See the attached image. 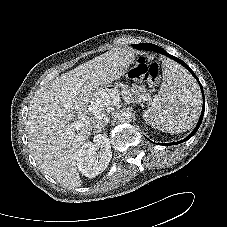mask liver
<instances>
[{"mask_svg":"<svg viewBox=\"0 0 227 227\" xmlns=\"http://www.w3.org/2000/svg\"><path fill=\"white\" fill-rule=\"evenodd\" d=\"M132 58L130 50L112 49L56 77L31 99L26 121L31 153L44 173L64 187H81L79 151L91 135L94 118L107 114L109 106L118 102L103 88L124 75ZM79 111L92 116H87L83 127L71 128Z\"/></svg>","mask_w":227,"mask_h":227,"instance_id":"obj_1","label":"liver"}]
</instances>
